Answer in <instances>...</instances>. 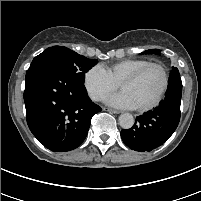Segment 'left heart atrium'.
<instances>
[{"label":"left heart atrium","mask_w":201,"mask_h":201,"mask_svg":"<svg viewBox=\"0 0 201 201\" xmlns=\"http://www.w3.org/2000/svg\"><path fill=\"white\" fill-rule=\"evenodd\" d=\"M107 103L111 106L121 109H132L135 108L134 103L125 92H120L107 99Z\"/></svg>","instance_id":"39dd6f15"}]
</instances>
